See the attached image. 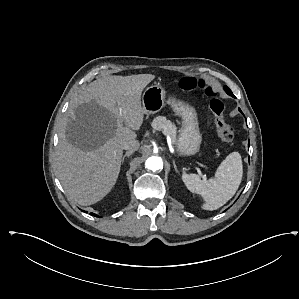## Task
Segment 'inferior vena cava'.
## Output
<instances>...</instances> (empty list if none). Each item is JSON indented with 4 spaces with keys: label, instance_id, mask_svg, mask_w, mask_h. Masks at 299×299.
<instances>
[{
    "label": "inferior vena cava",
    "instance_id": "602c4592",
    "mask_svg": "<svg viewBox=\"0 0 299 299\" xmlns=\"http://www.w3.org/2000/svg\"><path fill=\"white\" fill-rule=\"evenodd\" d=\"M122 148L128 151H136L139 148V142L135 139H127L123 142Z\"/></svg>",
    "mask_w": 299,
    "mask_h": 299
}]
</instances>
